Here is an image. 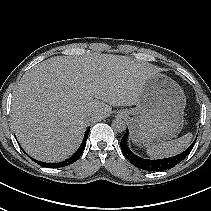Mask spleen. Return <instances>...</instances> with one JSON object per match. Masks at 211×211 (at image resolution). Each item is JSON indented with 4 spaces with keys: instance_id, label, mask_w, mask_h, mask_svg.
Returning a JSON list of instances; mask_svg holds the SVG:
<instances>
[{
    "instance_id": "obj_1",
    "label": "spleen",
    "mask_w": 211,
    "mask_h": 211,
    "mask_svg": "<svg viewBox=\"0 0 211 211\" xmlns=\"http://www.w3.org/2000/svg\"><path fill=\"white\" fill-rule=\"evenodd\" d=\"M191 140L192 133H187L175 140L147 146L146 151L148 156L151 158L157 159L169 157L184 151L187 147H189Z\"/></svg>"
}]
</instances>
